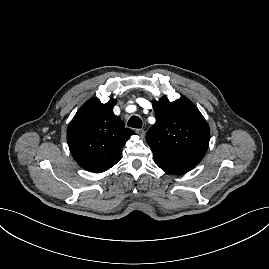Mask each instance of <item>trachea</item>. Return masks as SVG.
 <instances>
[{
	"label": "trachea",
	"mask_w": 269,
	"mask_h": 269,
	"mask_svg": "<svg viewBox=\"0 0 269 269\" xmlns=\"http://www.w3.org/2000/svg\"><path fill=\"white\" fill-rule=\"evenodd\" d=\"M127 125L132 128H141L142 127V120L138 116H132Z\"/></svg>",
	"instance_id": "obj_1"
}]
</instances>
